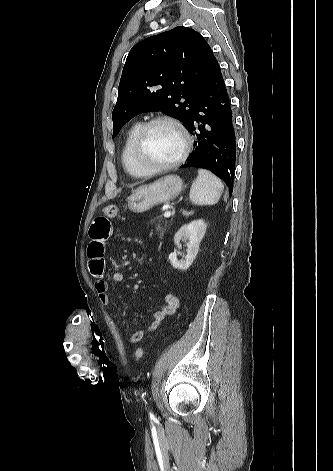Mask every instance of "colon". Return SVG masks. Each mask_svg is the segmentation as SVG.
I'll list each match as a JSON object with an SVG mask.
<instances>
[{
  "label": "colon",
  "mask_w": 333,
  "mask_h": 471,
  "mask_svg": "<svg viewBox=\"0 0 333 471\" xmlns=\"http://www.w3.org/2000/svg\"><path fill=\"white\" fill-rule=\"evenodd\" d=\"M119 214V209L118 207L114 206V205H108L106 207H104L103 209V215L109 217V218H115L117 217ZM143 356V349L141 347L137 348L135 350V357L137 359H140L142 358Z\"/></svg>",
  "instance_id": "5ec220e1"
}]
</instances>
